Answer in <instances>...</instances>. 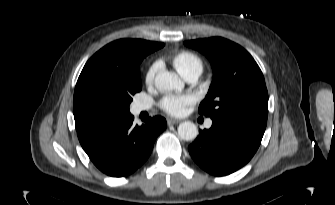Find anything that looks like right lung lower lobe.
<instances>
[{"label":"right lung lower lobe","mask_w":335,"mask_h":205,"mask_svg":"<svg viewBox=\"0 0 335 205\" xmlns=\"http://www.w3.org/2000/svg\"><path fill=\"white\" fill-rule=\"evenodd\" d=\"M131 114L78 132V139L91 161L105 174L123 177L133 173L149 157L157 136L167 126L155 116L141 126Z\"/></svg>","instance_id":"98d812e1"}]
</instances>
